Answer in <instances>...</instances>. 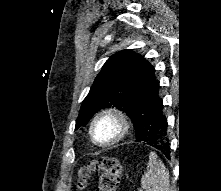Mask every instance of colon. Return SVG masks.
Returning a JSON list of instances; mask_svg holds the SVG:
<instances>
[{
	"mask_svg": "<svg viewBox=\"0 0 221 191\" xmlns=\"http://www.w3.org/2000/svg\"><path fill=\"white\" fill-rule=\"evenodd\" d=\"M93 171L99 173L96 191H117L122 175V165L116 157L103 156L83 166L79 172L80 187L85 185Z\"/></svg>",
	"mask_w": 221,
	"mask_h": 191,
	"instance_id": "colon-1",
	"label": "colon"
}]
</instances>
